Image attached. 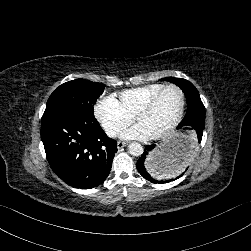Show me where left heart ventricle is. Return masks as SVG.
I'll return each mask as SVG.
<instances>
[{"label": "left heart ventricle", "instance_id": "b2bd125f", "mask_svg": "<svg viewBox=\"0 0 251 251\" xmlns=\"http://www.w3.org/2000/svg\"><path fill=\"white\" fill-rule=\"evenodd\" d=\"M182 96L177 90L166 91L150 110L136 113L139 121L147 122L157 133L173 124L180 113Z\"/></svg>", "mask_w": 251, "mask_h": 251}]
</instances>
